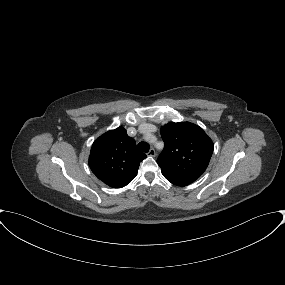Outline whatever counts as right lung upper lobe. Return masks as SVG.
I'll list each match as a JSON object with an SVG mask.
<instances>
[{"label": "right lung upper lobe", "instance_id": "1", "mask_svg": "<svg viewBox=\"0 0 285 285\" xmlns=\"http://www.w3.org/2000/svg\"><path fill=\"white\" fill-rule=\"evenodd\" d=\"M146 157L137 151L135 140L127 135L126 130L118 127L94 141L89 166L105 184L121 188L135 178L140 162Z\"/></svg>", "mask_w": 285, "mask_h": 285}]
</instances>
